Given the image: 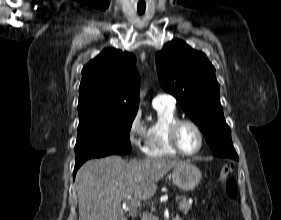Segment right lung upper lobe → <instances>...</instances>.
<instances>
[{
	"mask_svg": "<svg viewBox=\"0 0 281 220\" xmlns=\"http://www.w3.org/2000/svg\"><path fill=\"white\" fill-rule=\"evenodd\" d=\"M139 82L133 54L114 48L105 49L82 70L79 118L136 114Z\"/></svg>",
	"mask_w": 281,
	"mask_h": 220,
	"instance_id": "1",
	"label": "right lung upper lobe"
}]
</instances>
